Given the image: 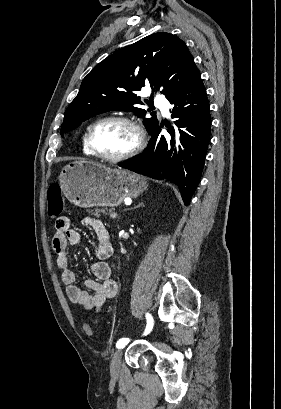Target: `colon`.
<instances>
[{
	"instance_id": "5ec220e1",
	"label": "colon",
	"mask_w": 281,
	"mask_h": 409,
	"mask_svg": "<svg viewBox=\"0 0 281 409\" xmlns=\"http://www.w3.org/2000/svg\"><path fill=\"white\" fill-rule=\"evenodd\" d=\"M48 214L50 217H58L64 209V202L61 194V187L59 184L50 185L48 188ZM83 327L86 329L87 335L93 334V329L89 328L90 324L85 322Z\"/></svg>"
}]
</instances>
